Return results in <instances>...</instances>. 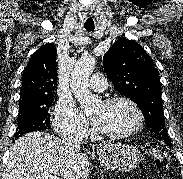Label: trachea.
<instances>
[{
    "instance_id": "3493384b",
    "label": "trachea",
    "mask_w": 183,
    "mask_h": 179,
    "mask_svg": "<svg viewBox=\"0 0 183 179\" xmlns=\"http://www.w3.org/2000/svg\"><path fill=\"white\" fill-rule=\"evenodd\" d=\"M84 28L87 30V31H93L94 30V21L92 18H89L85 24H84Z\"/></svg>"
}]
</instances>
